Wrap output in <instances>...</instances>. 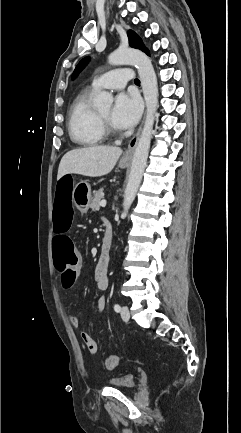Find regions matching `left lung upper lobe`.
<instances>
[{
	"mask_svg": "<svg viewBox=\"0 0 241 433\" xmlns=\"http://www.w3.org/2000/svg\"><path fill=\"white\" fill-rule=\"evenodd\" d=\"M128 38H129V44L131 47L139 49L143 52H145L147 55H150L149 50L145 47L143 44L141 38L132 30L128 31ZM89 61V58H84L80 61V63L77 65L73 77H76L78 73L87 65Z\"/></svg>",
	"mask_w": 241,
	"mask_h": 433,
	"instance_id": "left-lung-upper-lobe-1",
	"label": "left lung upper lobe"
}]
</instances>
